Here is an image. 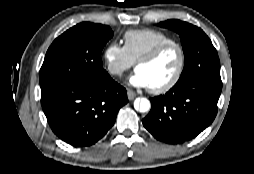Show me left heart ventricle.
<instances>
[{
  "label": "left heart ventricle",
  "instance_id": "obj_1",
  "mask_svg": "<svg viewBox=\"0 0 254 174\" xmlns=\"http://www.w3.org/2000/svg\"><path fill=\"white\" fill-rule=\"evenodd\" d=\"M178 65L179 53L177 49L170 48L151 63L139 65L137 70L145 74L150 88H156L166 84L173 78Z\"/></svg>",
  "mask_w": 254,
  "mask_h": 174
}]
</instances>
